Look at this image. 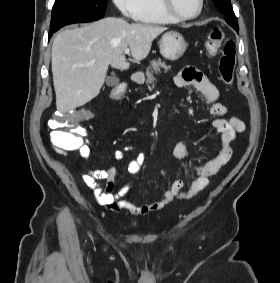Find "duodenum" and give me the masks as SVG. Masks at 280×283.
Returning <instances> with one entry per match:
<instances>
[{"instance_id":"duodenum-1","label":"duodenum","mask_w":280,"mask_h":283,"mask_svg":"<svg viewBox=\"0 0 280 283\" xmlns=\"http://www.w3.org/2000/svg\"><path fill=\"white\" fill-rule=\"evenodd\" d=\"M132 82L135 85H141L144 83V76L140 73H135L132 75Z\"/></svg>"}]
</instances>
